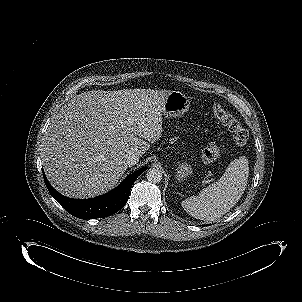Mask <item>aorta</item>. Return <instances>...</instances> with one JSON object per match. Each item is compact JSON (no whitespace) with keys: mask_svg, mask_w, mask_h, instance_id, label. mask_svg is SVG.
Listing matches in <instances>:
<instances>
[{"mask_svg":"<svg viewBox=\"0 0 302 302\" xmlns=\"http://www.w3.org/2000/svg\"><path fill=\"white\" fill-rule=\"evenodd\" d=\"M146 177L151 183H159L162 180V172L159 168H150L146 173Z\"/></svg>","mask_w":302,"mask_h":302,"instance_id":"1","label":"aorta"}]
</instances>
